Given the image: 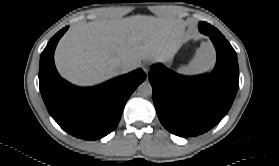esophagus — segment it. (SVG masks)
I'll return each instance as SVG.
<instances>
[{
  "mask_svg": "<svg viewBox=\"0 0 279 166\" xmlns=\"http://www.w3.org/2000/svg\"><path fill=\"white\" fill-rule=\"evenodd\" d=\"M143 70H144V72L146 73V75L148 76L150 67H149L148 65H144V66H143Z\"/></svg>",
  "mask_w": 279,
  "mask_h": 166,
  "instance_id": "34e87169",
  "label": "esophagus"
}]
</instances>
